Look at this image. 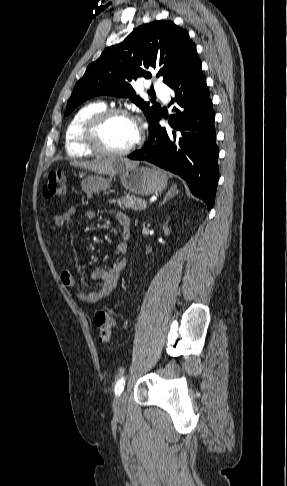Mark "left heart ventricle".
<instances>
[{"mask_svg":"<svg viewBox=\"0 0 287 486\" xmlns=\"http://www.w3.org/2000/svg\"><path fill=\"white\" fill-rule=\"evenodd\" d=\"M136 134V126L132 121L116 116L104 124L99 133V140L109 150H121L135 140Z\"/></svg>","mask_w":287,"mask_h":486,"instance_id":"left-heart-ventricle-1","label":"left heart ventricle"}]
</instances>
